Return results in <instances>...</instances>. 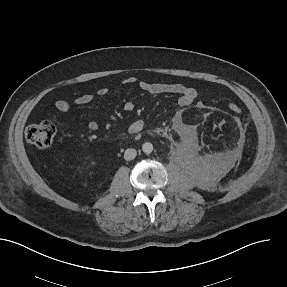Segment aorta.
<instances>
[{
	"label": "aorta",
	"instance_id": "1",
	"mask_svg": "<svg viewBox=\"0 0 287 287\" xmlns=\"http://www.w3.org/2000/svg\"><path fill=\"white\" fill-rule=\"evenodd\" d=\"M142 151L146 154H150L153 151V145L150 142H146L142 145Z\"/></svg>",
	"mask_w": 287,
	"mask_h": 287
}]
</instances>
